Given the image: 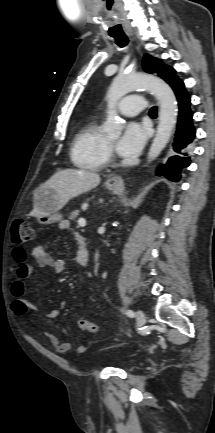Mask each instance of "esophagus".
Instances as JSON below:
<instances>
[{
    "label": "esophagus",
    "mask_w": 215,
    "mask_h": 433,
    "mask_svg": "<svg viewBox=\"0 0 215 433\" xmlns=\"http://www.w3.org/2000/svg\"><path fill=\"white\" fill-rule=\"evenodd\" d=\"M107 184L112 186H119L123 184V179L121 176H112L107 179Z\"/></svg>",
    "instance_id": "obj_1"
}]
</instances>
